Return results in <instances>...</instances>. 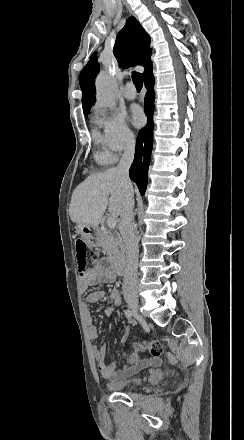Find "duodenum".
<instances>
[{"mask_svg": "<svg viewBox=\"0 0 244 440\" xmlns=\"http://www.w3.org/2000/svg\"><path fill=\"white\" fill-rule=\"evenodd\" d=\"M115 270L118 274L122 275L125 272L126 269V258L120 257L115 261L114 264Z\"/></svg>", "mask_w": 244, "mask_h": 440, "instance_id": "1", "label": "duodenum"}]
</instances>
